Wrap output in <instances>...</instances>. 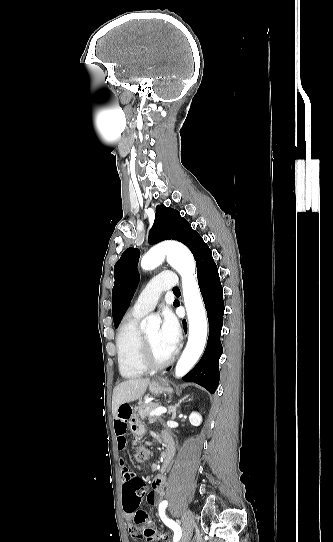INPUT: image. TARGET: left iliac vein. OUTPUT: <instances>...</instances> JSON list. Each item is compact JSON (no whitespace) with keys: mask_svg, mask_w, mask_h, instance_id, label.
Returning <instances> with one entry per match:
<instances>
[{"mask_svg":"<svg viewBox=\"0 0 333 542\" xmlns=\"http://www.w3.org/2000/svg\"><path fill=\"white\" fill-rule=\"evenodd\" d=\"M182 514L183 535L180 542H189L193 535L195 519L193 513L189 509H185Z\"/></svg>","mask_w":333,"mask_h":542,"instance_id":"1","label":"left iliac vein"}]
</instances>
